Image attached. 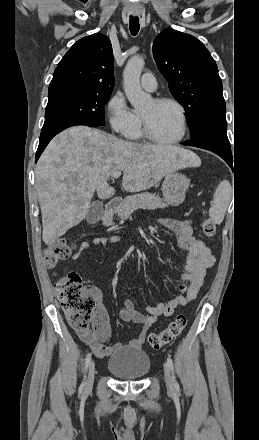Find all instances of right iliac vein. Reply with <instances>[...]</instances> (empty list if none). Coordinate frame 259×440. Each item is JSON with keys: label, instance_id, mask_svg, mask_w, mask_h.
<instances>
[{"label": "right iliac vein", "instance_id": "right-iliac-vein-1", "mask_svg": "<svg viewBox=\"0 0 259 440\" xmlns=\"http://www.w3.org/2000/svg\"><path fill=\"white\" fill-rule=\"evenodd\" d=\"M94 377H95V363L94 361H92L89 365V370H88V377H87V383H86V389L90 390L93 386V382H94Z\"/></svg>", "mask_w": 259, "mask_h": 440}]
</instances>
